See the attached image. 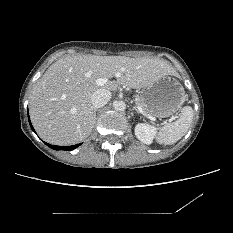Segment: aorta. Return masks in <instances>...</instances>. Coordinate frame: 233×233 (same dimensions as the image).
<instances>
[{"mask_svg": "<svg viewBox=\"0 0 233 233\" xmlns=\"http://www.w3.org/2000/svg\"><path fill=\"white\" fill-rule=\"evenodd\" d=\"M113 108L117 112H122L126 109V104L123 101H115L113 104Z\"/></svg>", "mask_w": 233, "mask_h": 233, "instance_id": "762f6f07", "label": "aorta"}]
</instances>
